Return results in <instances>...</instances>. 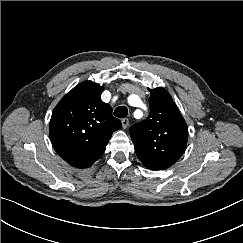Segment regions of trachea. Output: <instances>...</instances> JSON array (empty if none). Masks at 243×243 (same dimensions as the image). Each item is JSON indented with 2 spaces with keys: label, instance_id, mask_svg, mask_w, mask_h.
I'll return each mask as SVG.
<instances>
[{
  "label": "trachea",
  "instance_id": "obj_1",
  "mask_svg": "<svg viewBox=\"0 0 243 243\" xmlns=\"http://www.w3.org/2000/svg\"><path fill=\"white\" fill-rule=\"evenodd\" d=\"M128 114V109L125 106H119L114 110V116L125 118Z\"/></svg>",
  "mask_w": 243,
  "mask_h": 243
}]
</instances>
